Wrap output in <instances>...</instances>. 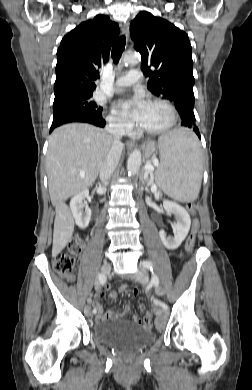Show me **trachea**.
<instances>
[{"label":"trachea","mask_w":252,"mask_h":390,"mask_svg":"<svg viewBox=\"0 0 252 390\" xmlns=\"http://www.w3.org/2000/svg\"><path fill=\"white\" fill-rule=\"evenodd\" d=\"M126 44V38L124 35L120 36L116 43L112 47V58L115 63H117L121 57L122 52L124 51Z\"/></svg>","instance_id":"obj_1"}]
</instances>
